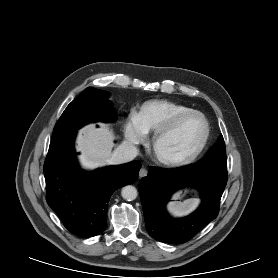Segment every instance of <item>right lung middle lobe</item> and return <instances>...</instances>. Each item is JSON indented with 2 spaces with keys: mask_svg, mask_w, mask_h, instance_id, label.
<instances>
[{
  "mask_svg": "<svg viewBox=\"0 0 278 278\" xmlns=\"http://www.w3.org/2000/svg\"><path fill=\"white\" fill-rule=\"evenodd\" d=\"M109 93L88 87L76 97L65 109L57 121L52 140L76 132L89 122L114 121L117 118Z\"/></svg>",
  "mask_w": 278,
  "mask_h": 278,
  "instance_id": "right-lung-middle-lobe-1",
  "label": "right lung middle lobe"
}]
</instances>
